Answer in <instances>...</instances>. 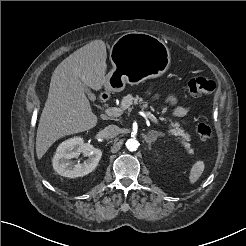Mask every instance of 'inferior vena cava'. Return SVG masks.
<instances>
[{
    "instance_id": "1",
    "label": "inferior vena cava",
    "mask_w": 246,
    "mask_h": 246,
    "mask_svg": "<svg viewBox=\"0 0 246 246\" xmlns=\"http://www.w3.org/2000/svg\"><path fill=\"white\" fill-rule=\"evenodd\" d=\"M120 133V128L116 125H108L101 131L104 138H114Z\"/></svg>"
}]
</instances>
